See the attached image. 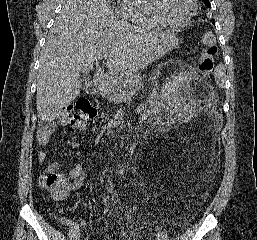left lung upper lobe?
<instances>
[{"instance_id":"1","label":"left lung upper lobe","mask_w":257,"mask_h":240,"mask_svg":"<svg viewBox=\"0 0 257 240\" xmlns=\"http://www.w3.org/2000/svg\"><path fill=\"white\" fill-rule=\"evenodd\" d=\"M203 1H204V4H205L207 7H211L209 0H203ZM213 23H214V22H213Z\"/></svg>"}]
</instances>
